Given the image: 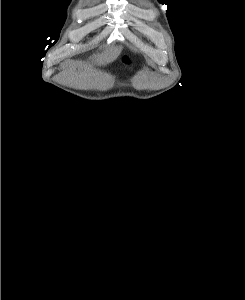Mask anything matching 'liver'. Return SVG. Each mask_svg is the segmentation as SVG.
I'll return each mask as SVG.
<instances>
[{
	"mask_svg": "<svg viewBox=\"0 0 245 300\" xmlns=\"http://www.w3.org/2000/svg\"><path fill=\"white\" fill-rule=\"evenodd\" d=\"M120 51H121V48H115L106 54L99 55L96 58V63L98 65H107V64L113 62L118 57Z\"/></svg>",
	"mask_w": 245,
	"mask_h": 300,
	"instance_id": "6515ba94",
	"label": "liver"
}]
</instances>
